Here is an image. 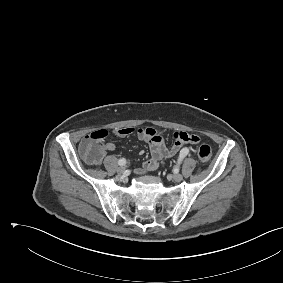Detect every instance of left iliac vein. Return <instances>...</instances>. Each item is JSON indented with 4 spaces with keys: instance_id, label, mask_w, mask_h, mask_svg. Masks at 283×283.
<instances>
[{
    "instance_id": "1",
    "label": "left iliac vein",
    "mask_w": 283,
    "mask_h": 283,
    "mask_svg": "<svg viewBox=\"0 0 283 283\" xmlns=\"http://www.w3.org/2000/svg\"><path fill=\"white\" fill-rule=\"evenodd\" d=\"M171 178L176 182H180L183 180V176L181 174H173L171 175Z\"/></svg>"
}]
</instances>
